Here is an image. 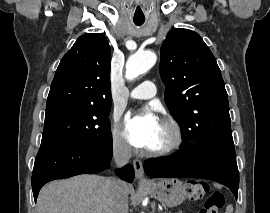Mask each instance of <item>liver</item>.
Wrapping results in <instances>:
<instances>
[{
  "instance_id": "liver-1",
  "label": "liver",
  "mask_w": 270,
  "mask_h": 213,
  "mask_svg": "<svg viewBox=\"0 0 270 213\" xmlns=\"http://www.w3.org/2000/svg\"><path fill=\"white\" fill-rule=\"evenodd\" d=\"M127 195L132 187L124 183ZM110 178L80 175L68 180L53 181L38 196V213H111Z\"/></svg>"
}]
</instances>
